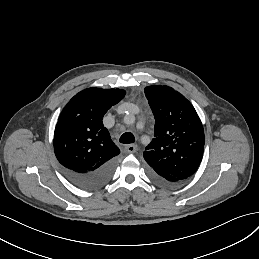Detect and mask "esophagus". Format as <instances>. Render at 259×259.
Masks as SVG:
<instances>
[{
    "instance_id": "34e87169",
    "label": "esophagus",
    "mask_w": 259,
    "mask_h": 259,
    "mask_svg": "<svg viewBox=\"0 0 259 259\" xmlns=\"http://www.w3.org/2000/svg\"><path fill=\"white\" fill-rule=\"evenodd\" d=\"M138 150V147L136 144H129L125 146V151L127 153H135Z\"/></svg>"
}]
</instances>
